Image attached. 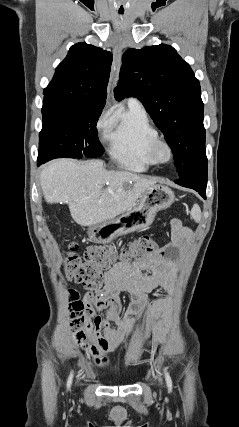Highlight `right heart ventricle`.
<instances>
[{
    "mask_svg": "<svg viewBox=\"0 0 239 427\" xmlns=\"http://www.w3.org/2000/svg\"><path fill=\"white\" fill-rule=\"evenodd\" d=\"M158 136L146 110L133 104L116 112L105 131L111 158L135 172L147 171L155 164L150 158L149 147Z\"/></svg>",
    "mask_w": 239,
    "mask_h": 427,
    "instance_id": "obj_1",
    "label": "right heart ventricle"
}]
</instances>
